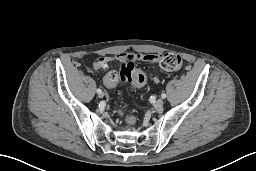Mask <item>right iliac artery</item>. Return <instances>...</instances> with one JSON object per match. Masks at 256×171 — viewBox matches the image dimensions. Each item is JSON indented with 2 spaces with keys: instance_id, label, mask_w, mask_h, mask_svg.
Instances as JSON below:
<instances>
[{
  "instance_id": "1",
  "label": "right iliac artery",
  "mask_w": 256,
  "mask_h": 171,
  "mask_svg": "<svg viewBox=\"0 0 256 171\" xmlns=\"http://www.w3.org/2000/svg\"><path fill=\"white\" fill-rule=\"evenodd\" d=\"M96 91H97V93H101V92H102V90H101V89H97Z\"/></svg>"
}]
</instances>
